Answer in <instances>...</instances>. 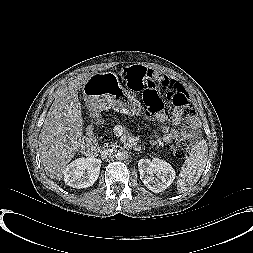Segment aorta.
I'll return each mask as SVG.
<instances>
[{"mask_svg": "<svg viewBox=\"0 0 253 253\" xmlns=\"http://www.w3.org/2000/svg\"><path fill=\"white\" fill-rule=\"evenodd\" d=\"M124 158H125V154H124V153L118 152V153L116 154V159H117V160H123Z\"/></svg>", "mask_w": 253, "mask_h": 253, "instance_id": "762f6f07", "label": "aorta"}]
</instances>
